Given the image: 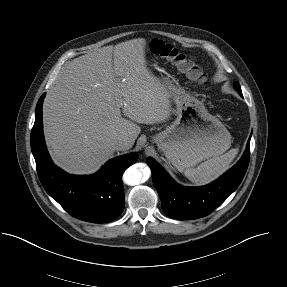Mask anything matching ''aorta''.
Instances as JSON below:
<instances>
[{"label": "aorta", "instance_id": "aorta-1", "mask_svg": "<svg viewBox=\"0 0 287 287\" xmlns=\"http://www.w3.org/2000/svg\"><path fill=\"white\" fill-rule=\"evenodd\" d=\"M143 177V172L137 165L129 167L123 174V181L125 184L135 186L140 184Z\"/></svg>", "mask_w": 287, "mask_h": 287}]
</instances>
